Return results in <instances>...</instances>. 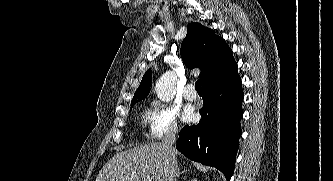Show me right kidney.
Listing matches in <instances>:
<instances>
[{
    "instance_id": "right-kidney-1",
    "label": "right kidney",
    "mask_w": 333,
    "mask_h": 181,
    "mask_svg": "<svg viewBox=\"0 0 333 181\" xmlns=\"http://www.w3.org/2000/svg\"><path fill=\"white\" fill-rule=\"evenodd\" d=\"M192 181H197V179H193Z\"/></svg>"
}]
</instances>
